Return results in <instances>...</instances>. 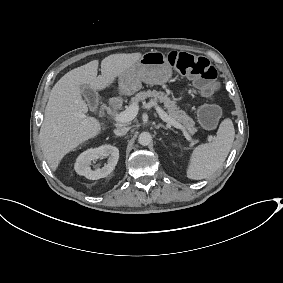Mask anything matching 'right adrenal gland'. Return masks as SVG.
Listing matches in <instances>:
<instances>
[{
	"instance_id": "1",
	"label": "right adrenal gland",
	"mask_w": 283,
	"mask_h": 283,
	"mask_svg": "<svg viewBox=\"0 0 283 283\" xmlns=\"http://www.w3.org/2000/svg\"><path fill=\"white\" fill-rule=\"evenodd\" d=\"M113 137L119 138L118 136H115V135Z\"/></svg>"
}]
</instances>
